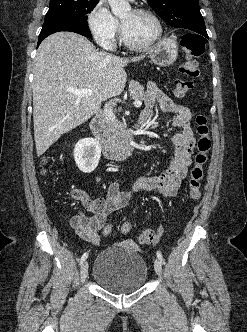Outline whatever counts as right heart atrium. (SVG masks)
I'll return each instance as SVG.
<instances>
[{
    "label": "right heart atrium",
    "instance_id": "d8ad5b80",
    "mask_svg": "<svg viewBox=\"0 0 247 332\" xmlns=\"http://www.w3.org/2000/svg\"><path fill=\"white\" fill-rule=\"evenodd\" d=\"M89 30L98 45L113 48L119 32V22L102 1H98L87 18Z\"/></svg>",
    "mask_w": 247,
    "mask_h": 332
}]
</instances>
